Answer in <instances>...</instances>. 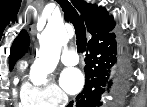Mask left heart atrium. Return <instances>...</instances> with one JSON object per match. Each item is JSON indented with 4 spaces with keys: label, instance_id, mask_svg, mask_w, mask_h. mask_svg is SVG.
<instances>
[{
    "label": "left heart atrium",
    "instance_id": "left-heart-atrium-1",
    "mask_svg": "<svg viewBox=\"0 0 147 107\" xmlns=\"http://www.w3.org/2000/svg\"><path fill=\"white\" fill-rule=\"evenodd\" d=\"M84 78L78 69H66L61 76V85L69 94H75L81 90Z\"/></svg>",
    "mask_w": 147,
    "mask_h": 107
}]
</instances>
